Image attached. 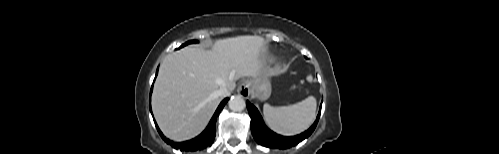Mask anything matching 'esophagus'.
Masks as SVG:
<instances>
[{"label": "esophagus", "mask_w": 499, "mask_h": 154, "mask_svg": "<svg viewBox=\"0 0 499 154\" xmlns=\"http://www.w3.org/2000/svg\"><path fill=\"white\" fill-rule=\"evenodd\" d=\"M251 83L249 81H243L239 84L237 92L244 98H247L251 93Z\"/></svg>", "instance_id": "esophagus-1"}]
</instances>
